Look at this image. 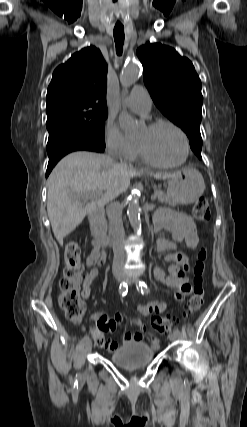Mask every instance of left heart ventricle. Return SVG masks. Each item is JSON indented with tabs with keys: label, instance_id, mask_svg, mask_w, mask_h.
I'll return each mask as SVG.
<instances>
[{
	"label": "left heart ventricle",
	"instance_id": "obj_1",
	"mask_svg": "<svg viewBox=\"0 0 247 427\" xmlns=\"http://www.w3.org/2000/svg\"><path fill=\"white\" fill-rule=\"evenodd\" d=\"M137 142L142 144L151 158L163 163L179 161L183 155V142L180 135L168 126L153 130H142Z\"/></svg>",
	"mask_w": 247,
	"mask_h": 427
}]
</instances>
